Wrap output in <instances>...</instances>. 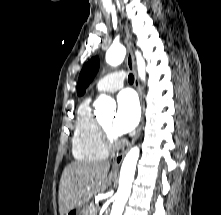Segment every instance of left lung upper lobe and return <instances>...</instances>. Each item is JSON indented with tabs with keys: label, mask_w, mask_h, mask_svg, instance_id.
<instances>
[{
	"label": "left lung upper lobe",
	"mask_w": 221,
	"mask_h": 215,
	"mask_svg": "<svg viewBox=\"0 0 221 215\" xmlns=\"http://www.w3.org/2000/svg\"><path fill=\"white\" fill-rule=\"evenodd\" d=\"M99 69V58H91L81 70L78 80L77 93L83 95Z\"/></svg>",
	"instance_id": "5c2ea615"
}]
</instances>
